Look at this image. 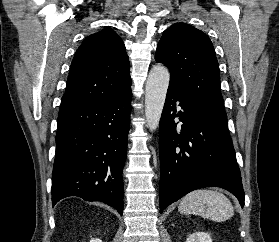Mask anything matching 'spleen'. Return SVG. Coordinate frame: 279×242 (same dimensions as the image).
<instances>
[{"label":"spleen","instance_id":"obj_1","mask_svg":"<svg viewBox=\"0 0 279 242\" xmlns=\"http://www.w3.org/2000/svg\"><path fill=\"white\" fill-rule=\"evenodd\" d=\"M178 210L182 214H195L217 222L226 221L234 215L230 200L224 194L209 189L188 193L180 202Z\"/></svg>","mask_w":279,"mask_h":242}]
</instances>
